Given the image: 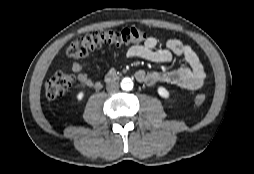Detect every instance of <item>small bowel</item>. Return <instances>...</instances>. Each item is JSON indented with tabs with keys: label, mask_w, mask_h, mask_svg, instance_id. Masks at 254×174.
<instances>
[{
	"label": "small bowel",
	"mask_w": 254,
	"mask_h": 174,
	"mask_svg": "<svg viewBox=\"0 0 254 174\" xmlns=\"http://www.w3.org/2000/svg\"><path fill=\"white\" fill-rule=\"evenodd\" d=\"M174 56L183 58L185 65L168 72L138 70L135 73L137 81L147 86L162 82L187 90L202 88L207 79L203 65L196 52L180 40L170 39L164 47H160L158 40L153 36H149L142 43L134 44L126 51V57L128 58H141L154 63L170 62ZM83 68L84 63L82 61L75 62L72 65V72L78 82L84 87L100 88L101 84L83 72Z\"/></svg>",
	"instance_id": "1"
}]
</instances>
